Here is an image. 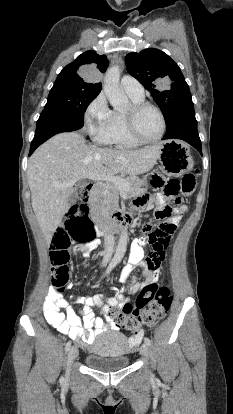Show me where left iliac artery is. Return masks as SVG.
<instances>
[{"mask_svg":"<svg viewBox=\"0 0 233 414\" xmlns=\"http://www.w3.org/2000/svg\"><path fill=\"white\" fill-rule=\"evenodd\" d=\"M144 341H145V343H146L148 346H150V345H151V341H150V339H149L148 337H145V338H144Z\"/></svg>","mask_w":233,"mask_h":414,"instance_id":"left-iliac-artery-1","label":"left iliac artery"}]
</instances>
